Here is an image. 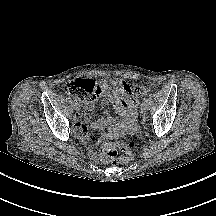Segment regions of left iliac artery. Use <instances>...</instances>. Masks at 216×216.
Segmentation results:
<instances>
[{
  "label": "left iliac artery",
  "mask_w": 216,
  "mask_h": 216,
  "mask_svg": "<svg viewBox=\"0 0 216 216\" xmlns=\"http://www.w3.org/2000/svg\"><path fill=\"white\" fill-rule=\"evenodd\" d=\"M143 100H144V102H147V101H148V98H147V97H144Z\"/></svg>",
  "instance_id": "left-iliac-artery-1"
}]
</instances>
